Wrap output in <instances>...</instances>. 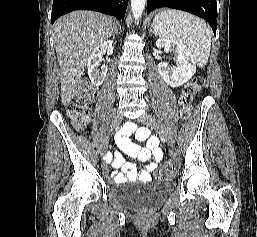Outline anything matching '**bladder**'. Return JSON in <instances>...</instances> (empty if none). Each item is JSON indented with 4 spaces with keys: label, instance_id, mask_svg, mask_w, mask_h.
<instances>
[{
    "label": "bladder",
    "instance_id": "bladder-1",
    "mask_svg": "<svg viewBox=\"0 0 257 237\" xmlns=\"http://www.w3.org/2000/svg\"><path fill=\"white\" fill-rule=\"evenodd\" d=\"M127 182V181H126ZM125 183V182H123ZM172 189L169 180H156L147 183L141 189L130 190L120 199L128 207L135 210H151L159 206Z\"/></svg>",
    "mask_w": 257,
    "mask_h": 237
}]
</instances>
